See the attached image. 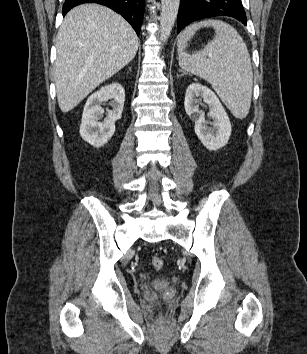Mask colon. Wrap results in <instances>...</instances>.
Instances as JSON below:
<instances>
[{
  "label": "colon",
  "instance_id": "obj_1",
  "mask_svg": "<svg viewBox=\"0 0 307 354\" xmlns=\"http://www.w3.org/2000/svg\"><path fill=\"white\" fill-rule=\"evenodd\" d=\"M151 264L154 269L160 270V269H162L164 262L160 257H153L151 260Z\"/></svg>",
  "mask_w": 307,
  "mask_h": 354
}]
</instances>
